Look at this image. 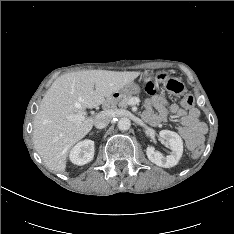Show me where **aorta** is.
Wrapping results in <instances>:
<instances>
[{
  "label": "aorta",
  "mask_w": 234,
  "mask_h": 234,
  "mask_svg": "<svg viewBox=\"0 0 234 234\" xmlns=\"http://www.w3.org/2000/svg\"><path fill=\"white\" fill-rule=\"evenodd\" d=\"M117 126L120 130L126 131L130 128L131 126V121L127 117H122L118 120Z\"/></svg>",
  "instance_id": "1"
}]
</instances>
